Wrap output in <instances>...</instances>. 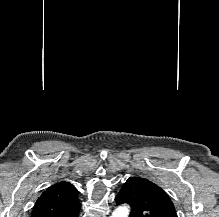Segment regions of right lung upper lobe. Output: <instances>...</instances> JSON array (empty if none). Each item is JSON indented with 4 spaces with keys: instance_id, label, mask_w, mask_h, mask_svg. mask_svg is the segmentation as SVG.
Instances as JSON below:
<instances>
[{
    "instance_id": "1",
    "label": "right lung upper lobe",
    "mask_w": 219,
    "mask_h": 217,
    "mask_svg": "<svg viewBox=\"0 0 219 217\" xmlns=\"http://www.w3.org/2000/svg\"><path fill=\"white\" fill-rule=\"evenodd\" d=\"M77 189L68 182L56 183L36 201L31 217H71L79 213Z\"/></svg>"
}]
</instances>
